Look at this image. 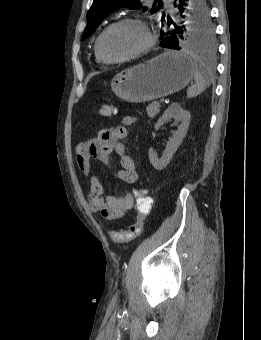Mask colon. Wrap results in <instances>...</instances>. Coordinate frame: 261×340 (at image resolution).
I'll return each instance as SVG.
<instances>
[{"mask_svg":"<svg viewBox=\"0 0 261 340\" xmlns=\"http://www.w3.org/2000/svg\"><path fill=\"white\" fill-rule=\"evenodd\" d=\"M114 113V108L110 104H104L99 109V115L110 116ZM134 209L137 213L136 221L129 226L127 230L111 232L110 236L113 241L126 243L136 239L141 235L146 217L152 209V199L145 188H139L134 191Z\"/></svg>","mask_w":261,"mask_h":340,"instance_id":"obj_1","label":"colon"}]
</instances>
